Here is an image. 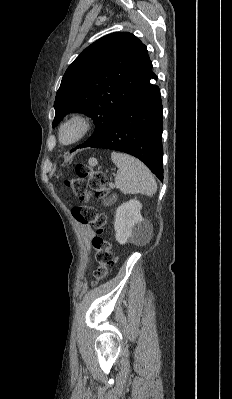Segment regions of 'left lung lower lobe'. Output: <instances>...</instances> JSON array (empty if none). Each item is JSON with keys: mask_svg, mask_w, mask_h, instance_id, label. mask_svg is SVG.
I'll list each match as a JSON object with an SVG mask.
<instances>
[{"mask_svg": "<svg viewBox=\"0 0 232 399\" xmlns=\"http://www.w3.org/2000/svg\"><path fill=\"white\" fill-rule=\"evenodd\" d=\"M151 79L157 76L149 59L134 93L109 131L90 147L128 153L163 181L162 101L159 87Z\"/></svg>", "mask_w": 232, "mask_h": 399, "instance_id": "0a47b994", "label": "left lung lower lobe"}]
</instances>
